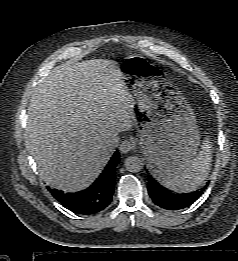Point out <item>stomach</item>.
<instances>
[{
    "label": "stomach",
    "mask_w": 238,
    "mask_h": 261,
    "mask_svg": "<svg viewBox=\"0 0 238 261\" xmlns=\"http://www.w3.org/2000/svg\"><path fill=\"white\" fill-rule=\"evenodd\" d=\"M122 87L137 122L139 146L159 181L181 173L196 155L200 134L196 116L179 88L143 59L119 66Z\"/></svg>",
    "instance_id": "1"
}]
</instances>
